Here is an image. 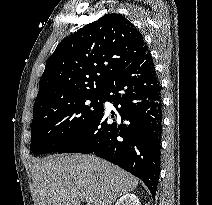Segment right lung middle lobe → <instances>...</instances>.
<instances>
[{
    "mask_svg": "<svg viewBox=\"0 0 212 205\" xmlns=\"http://www.w3.org/2000/svg\"><path fill=\"white\" fill-rule=\"evenodd\" d=\"M102 93L34 113L31 150L36 154L56 152L70 142L103 110Z\"/></svg>",
    "mask_w": 212,
    "mask_h": 205,
    "instance_id": "obj_1",
    "label": "right lung middle lobe"
}]
</instances>
